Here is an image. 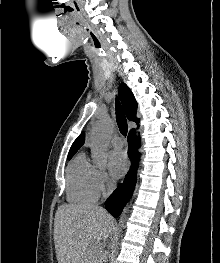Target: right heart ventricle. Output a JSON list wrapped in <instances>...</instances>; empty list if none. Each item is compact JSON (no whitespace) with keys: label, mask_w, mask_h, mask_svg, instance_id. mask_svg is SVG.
<instances>
[{"label":"right heart ventricle","mask_w":220,"mask_h":263,"mask_svg":"<svg viewBox=\"0 0 220 263\" xmlns=\"http://www.w3.org/2000/svg\"><path fill=\"white\" fill-rule=\"evenodd\" d=\"M96 172V168L89 163L84 153L78 154L70 162L66 176V195L69 202L91 203L98 199Z\"/></svg>","instance_id":"1"}]
</instances>
